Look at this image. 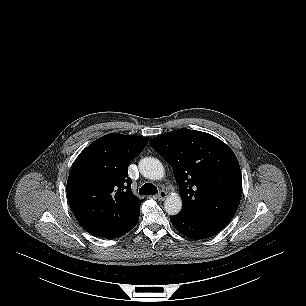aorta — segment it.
<instances>
[{
    "mask_svg": "<svg viewBox=\"0 0 306 306\" xmlns=\"http://www.w3.org/2000/svg\"><path fill=\"white\" fill-rule=\"evenodd\" d=\"M139 170L142 176L150 180H160L164 177L162 163L154 157H145L139 161ZM164 209L169 215H176L182 209V200L176 193L169 195L164 202Z\"/></svg>",
    "mask_w": 306,
    "mask_h": 306,
    "instance_id": "1",
    "label": "aorta"
}]
</instances>
